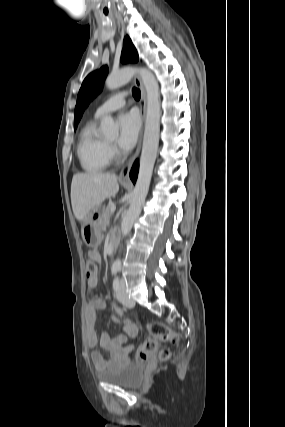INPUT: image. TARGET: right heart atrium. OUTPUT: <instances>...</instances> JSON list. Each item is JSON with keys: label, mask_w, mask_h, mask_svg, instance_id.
<instances>
[{"label": "right heart atrium", "mask_w": 285, "mask_h": 427, "mask_svg": "<svg viewBox=\"0 0 285 427\" xmlns=\"http://www.w3.org/2000/svg\"><path fill=\"white\" fill-rule=\"evenodd\" d=\"M109 152L111 156H114L116 154V149L113 145H109Z\"/></svg>", "instance_id": "right-heart-atrium-1"}]
</instances>
